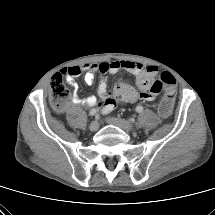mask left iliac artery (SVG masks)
<instances>
[{
	"label": "left iliac artery",
	"instance_id": "1",
	"mask_svg": "<svg viewBox=\"0 0 215 215\" xmlns=\"http://www.w3.org/2000/svg\"><path fill=\"white\" fill-rule=\"evenodd\" d=\"M143 111V107L141 105L136 107V112L141 113Z\"/></svg>",
	"mask_w": 215,
	"mask_h": 215
}]
</instances>
